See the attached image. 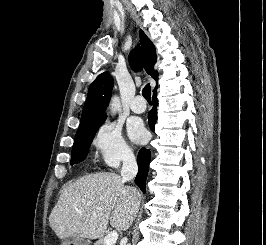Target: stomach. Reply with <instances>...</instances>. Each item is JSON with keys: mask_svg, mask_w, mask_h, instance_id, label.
<instances>
[{"mask_svg": "<svg viewBox=\"0 0 266 245\" xmlns=\"http://www.w3.org/2000/svg\"><path fill=\"white\" fill-rule=\"evenodd\" d=\"M70 245H90V241H84L81 237H77L75 243H70Z\"/></svg>", "mask_w": 266, "mask_h": 245, "instance_id": "obj_1", "label": "stomach"}]
</instances>
